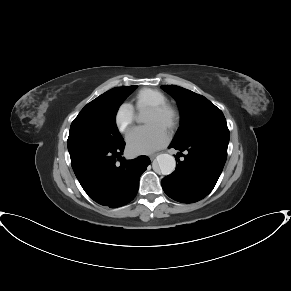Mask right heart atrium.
I'll return each instance as SVG.
<instances>
[{"label": "right heart atrium", "mask_w": 291, "mask_h": 291, "mask_svg": "<svg viewBox=\"0 0 291 291\" xmlns=\"http://www.w3.org/2000/svg\"><path fill=\"white\" fill-rule=\"evenodd\" d=\"M135 120V111L132 105L123 103L121 104L115 115V123L121 133H126L131 128Z\"/></svg>", "instance_id": "right-heart-atrium-1"}]
</instances>
